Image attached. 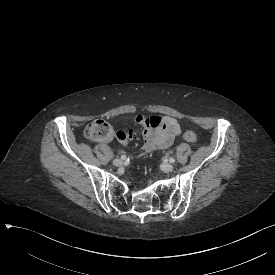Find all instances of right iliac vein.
<instances>
[{"instance_id":"63e3f726","label":"right iliac vein","mask_w":275,"mask_h":275,"mask_svg":"<svg viewBox=\"0 0 275 275\" xmlns=\"http://www.w3.org/2000/svg\"><path fill=\"white\" fill-rule=\"evenodd\" d=\"M113 164L115 166H121L123 164V161L120 158H116L113 160Z\"/></svg>"}]
</instances>
